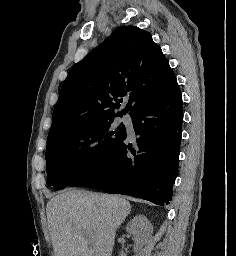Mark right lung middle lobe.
<instances>
[{"label":"right lung middle lobe","instance_id":"obj_1","mask_svg":"<svg viewBox=\"0 0 236 256\" xmlns=\"http://www.w3.org/2000/svg\"><path fill=\"white\" fill-rule=\"evenodd\" d=\"M113 119L77 125L49 137L46 147L47 182L55 190L69 184L111 154L126 137L121 123L116 130Z\"/></svg>","mask_w":236,"mask_h":256}]
</instances>
